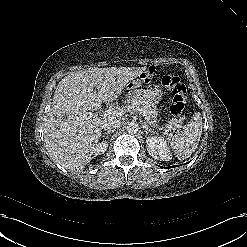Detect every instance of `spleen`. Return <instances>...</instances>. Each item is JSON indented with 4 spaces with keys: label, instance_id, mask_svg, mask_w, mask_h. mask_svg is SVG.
<instances>
[{
    "label": "spleen",
    "instance_id": "spleen-1",
    "mask_svg": "<svg viewBox=\"0 0 247 247\" xmlns=\"http://www.w3.org/2000/svg\"><path fill=\"white\" fill-rule=\"evenodd\" d=\"M202 128V116L199 112H196L184 130L178 131L173 136L171 146L178 159L184 160L189 158L197 149L202 134Z\"/></svg>",
    "mask_w": 247,
    "mask_h": 247
}]
</instances>
